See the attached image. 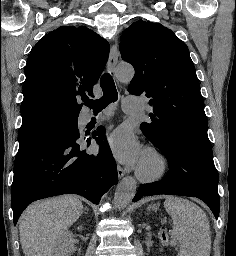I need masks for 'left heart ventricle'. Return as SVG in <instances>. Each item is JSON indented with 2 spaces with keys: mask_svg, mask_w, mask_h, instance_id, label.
Returning <instances> with one entry per match:
<instances>
[{
  "mask_svg": "<svg viewBox=\"0 0 236 256\" xmlns=\"http://www.w3.org/2000/svg\"><path fill=\"white\" fill-rule=\"evenodd\" d=\"M140 165L147 171H150L153 168V161L150 157H145L143 155Z\"/></svg>",
  "mask_w": 236,
  "mask_h": 256,
  "instance_id": "left-heart-ventricle-1",
  "label": "left heart ventricle"
}]
</instances>
